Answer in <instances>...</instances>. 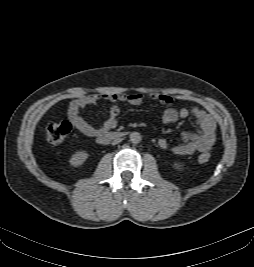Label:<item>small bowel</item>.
Listing matches in <instances>:
<instances>
[{"label": "small bowel", "mask_w": 254, "mask_h": 267, "mask_svg": "<svg viewBox=\"0 0 254 267\" xmlns=\"http://www.w3.org/2000/svg\"><path fill=\"white\" fill-rule=\"evenodd\" d=\"M100 99L108 102H125L132 106L142 104L144 96L142 94L114 93L102 96L88 95L72 100L67 108V118L71 124L82 134L88 137H99L115 128L119 122L120 108L114 104L110 107L109 116L101 127H94L89 124L82 116L81 110L95 105ZM151 99L158 101L166 106L162 114V121L165 124L176 122L179 118H194L196 122L195 132H186L182 136L180 143L174 144L171 151L176 155H192L196 152H207L215 142L216 124L214 119L199 107L176 109L172 107V97L165 94H153ZM158 144L161 148H167L168 143L165 139H160Z\"/></svg>", "instance_id": "small-bowel-1"}]
</instances>
